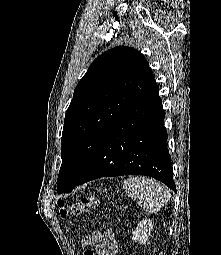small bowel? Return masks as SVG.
Instances as JSON below:
<instances>
[{"mask_svg":"<svg viewBox=\"0 0 221 255\" xmlns=\"http://www.w3.org/2000/svg\"><path fill=\"white\" fill-rule=\"evenodd\" d=\"M83 248L95 246L97 255H118V243L112 231L91 232L81 243Z\"/></svg>","mask_w":221,"mask_h":255,"instance_id":"obj_1","label":"small bowel"}]
</instances>
